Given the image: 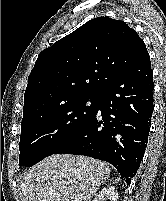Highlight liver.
<instances>
[{
  "instance_id": "6515ba94",
  "label": "liver",
  "mask_w": 166,
  "mask_h": 201,
  "mask_svg": "<svg viewBox=\"0 0 166 201\" xmlns=\"http://www.w3.org/2000/svg\"><path fill=\"white\" fill-rule=\"evenodd\" d=\"M109 176V166L99 160L52 155L23 174L22 201H91Z\"/></svg>"
}]
</instances>
